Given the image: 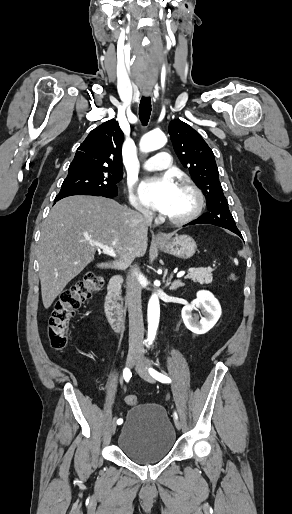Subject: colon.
Wrapping results in <instances>:
<instances>
[{
  "label": "colon",
  "instance_id": "colon-1",
  "mask_svg": "<svg viewBox=\"0 0 292 514\" xmlns=\"http://www.w3.org/2000/svg\"><path fill=\"white\" fill-rule=\"evenodd\" d=\"M101 285L102 277L90 272L83 280L62 292L48 321V339L54 350L62 351L66 348L74 312L92 293L99 290ZM125 403L129 406H136L138 399L136 396L127 395Z\"/></svg>",
  "mask_w": 292,
  "mask_h": 514
}]
</instances>
